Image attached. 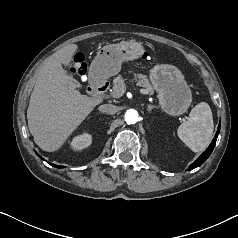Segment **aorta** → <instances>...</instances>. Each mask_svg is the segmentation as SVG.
Instances as JSON below:
<instances>
[{"mask_svg": "<svg viewBox=\"0 0 238 238\" xmlns=\"http://www.w3.org/2000/svg\"><path fill=\"white\" fill-rule=\"evenodd\" d=\"M127 124H135L138 120V112L134 109H129L124 115Z\"/></svg>", "mask_w": 238, "mask_h": 238, "instance_id": "aorta-1", "label": "aorta"}]
</instances>
